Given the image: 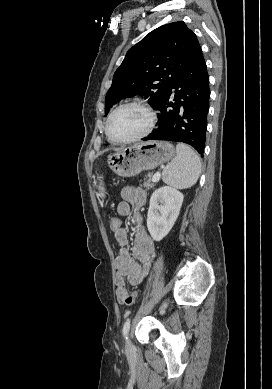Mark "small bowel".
Instances as JSON below:
<instances>
[{"label": "small bowel", "mask_w": 272, "mask_h": 389, "mask_svg": "<svg viewBox=\"0 0 272 389\" xmlns=\"http://www.w3.org/2000/svg\"><path fill=\"white\" fill-rule=\"evenodd\" d=\"M121 196L123 200L117 206V213L121 217H130L137 228L131 249L127 247V229L121 227L115 233V239L121 246L115 259L116 297L119 303H123L128 295V285L138 286L147 277L156 255L154 242L142 225L141 208L146 203V192L139 187L126 186Z\"/></svg>", "instance_id": "c3829d8e"}]
</instances>
